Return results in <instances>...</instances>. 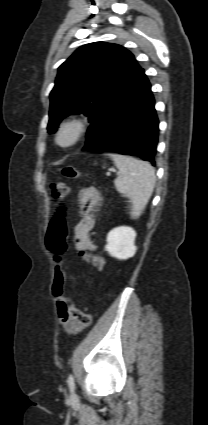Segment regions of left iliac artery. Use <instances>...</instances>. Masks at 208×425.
Instances as JSON below:
<instances>
[{
	"label": "left iliac artery",
	"instance_id": "44dca946",
	"mask_svg": "<svg viewBox=\"0 0 208 425\" xmlns=\"http://www.w3.org/2000/svg\"><path fill=\"white\" fill-rule=\"evenodd\" d=\"M67 383H68V386H69V388H70V391H71V392H74V389H75V383H74V377L72 376V374H70V375L68 376Z\"/></svg>",
	"mask_w": 208,
	"mask_h": 425
}]
</instances>
